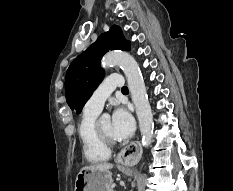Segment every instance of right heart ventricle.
I'll use <instances>...</instances> for the list:
<instances>
[{
	"mask_svg": "<svg viewBox=\"0 0 233 191\" xmlns=\"http://www.w3.org/2000/svg\"><path fill=\"white\" fill-rule=\"evenodd\" d=\"M99 113L84 111L78 126V135L82 143L83 155L90 163L108 160L110 149L98 138L95 125Z\"/></svg>",
	"mask_w": 233,
	"mask_h": 191,
	"instance_id": "1",
	"label": "right heart ventricle"
}]
</instances>
